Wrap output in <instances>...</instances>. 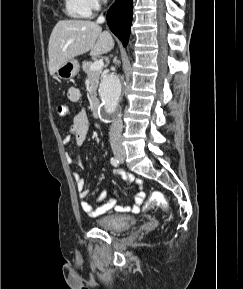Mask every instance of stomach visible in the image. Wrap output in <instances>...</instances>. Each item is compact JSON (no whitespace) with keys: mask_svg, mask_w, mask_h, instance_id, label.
<instances>
[{"mask_svg":"<svg viewBox=\"0 0 243 289\" xmlns=\"http://www.w3.org/2000/svg\"><path fill=\"white\" fill-rule=\"evenodd\" d=\"M80 69L79 62L76 59H71L64 63L58 70L57 75L59 78L68 80L75 77Z\"/></svg>","mask_w":243,"mask_h":289,"instance_id":"0dacf381","label":"stomach"}]
</instances>
